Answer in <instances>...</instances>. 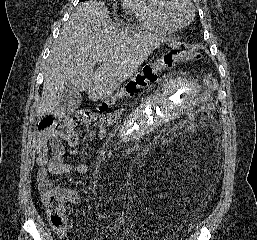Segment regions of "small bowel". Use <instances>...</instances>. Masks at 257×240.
Segmentation results:
<instances>
[{
  "label": "small bowel",
  "mask_w": 257,
  "mask_h": 240,
  "mask_svg": "<svg viewBox=\"0 0 257 240\" xmlns=\"http://www.w3.org/2000/svg\"><path fill=\"white\" fill-rule=\"evenodd\" d=\"M107 136L105 128L101 127L98 131V138L104 139ZM62 140L71 146L79 143V135L71 122L62 125L58 131H41L35 143L37 153L36 162L40 166L37 173V183L41 194L48 191H59L70 204H78L81 201L80 192L76 188L60 189L50 182L51 176L86 174L89 167L84 163L71 164L63 161L64 147ZM51 151V154L49 152ZM115 226L121 231L122 235L128 240H139L136 231L128 227L124 219L115 221ZM57 236L65 235V228H54Z\"/></svg>",
  "instance_id": "1"
}]
</instances>
